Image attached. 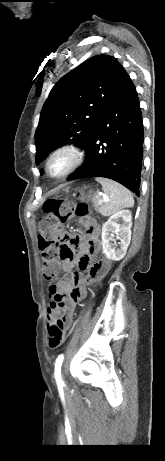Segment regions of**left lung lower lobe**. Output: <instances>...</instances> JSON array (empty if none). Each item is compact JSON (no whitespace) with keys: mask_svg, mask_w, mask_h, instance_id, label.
Segmentation results:
<instances>
[{"mask_svg":"<svg viewBox=\"0 0 165 461\" xmlns=\"http://www.w3.org/2000/svg\"><path fill=\"white\" fill-rule=\"evenodd\" d=\"M143 136L136 88L127 75L84 146L85 163L69 176L68 181L105 177L138 195Z\"/></svg>","mask_w":165,"mask_h":461,"instance_id":"obj_1","label":"left lung lower lobe"}]
</instances>
